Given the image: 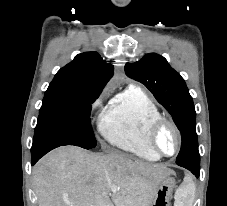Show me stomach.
<instances>
[{
    "label": "stomach",
    "instance_id": "1",
    "mask_svg": "<svg viewBox=\"0 0 227 206\" xmlns=\"http://www.w3.org/2000/svg\"><path fill=\"white\" fill-rule=\"evenodd\" d=\"M175 187V179L167 177L157 188L150 206H170V197Z\"/></svg>",
    "mask_w": 227,
    "mask_h": 206
}]
</instances>
